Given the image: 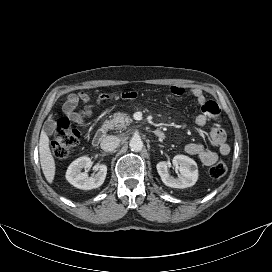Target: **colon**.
<instances>
[{
	"instance_id": "5ec220e1",
	"label": "colon",
	"mask_w": 272,
	"mask_h": 272,
	"mask_svg": "<svg viewBox=\"0 0 272 272\" xmlns=\"http://www.w3.org/2000/svg\"><path fill=\"white\" fill-rule=\"evenodd\" d=\"M80 140V132L75 129L69 118L62 117L58 121V128L52 137L50 148L54 157L63 159L70 156L76 149ZM224 161H216L209 169L213 178H221L227 172Z\"/></svg>"
}]
</instances>
